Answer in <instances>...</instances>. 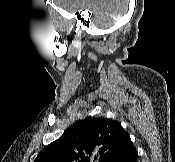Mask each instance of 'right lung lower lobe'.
<instances>
[{
	"label": "right lung lower lobe",
	"mask_w": 175,
	"mask_h": 162,
	"mask_svg": "<svg viewBox=\"0 0 175 162\" xmlns=\"http://www.w3.org/2000/svg\"><path fill=\"white\" fill-rule=\"evenodd\" d=\"M137 157H138L137 151L132 146L124 153L115 157L112 160V162H137Z\"/></svg>",
	"instance_id": "right-lung-lower-lobe-1"
}]
</instances>
